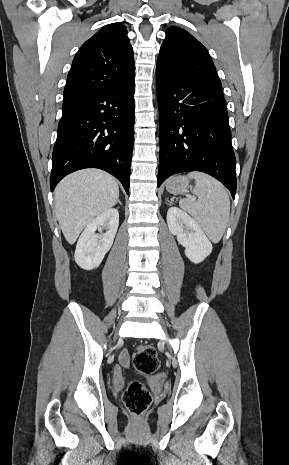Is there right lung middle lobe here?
I'll return each instance as SVG.
<instances>
[{
    "instance_id": "1",
    "label": "right lung middle lobe",
    "mask_w": 289,
    "mask_h": 465,
    "mask_svg": "<svg viewBox=\"0 0 289 465\" xmlns=\"http://www.w3.org/2000/svg\"><path fill=\"white\" fill-rule=\"evenodd\" d=\"M73 108H74V105H64L62 107V116L70 113L73 110Z\"/></svg>"
}]
</instances>
